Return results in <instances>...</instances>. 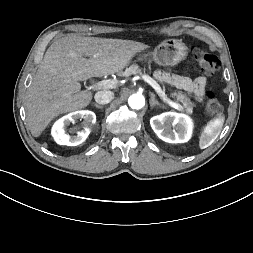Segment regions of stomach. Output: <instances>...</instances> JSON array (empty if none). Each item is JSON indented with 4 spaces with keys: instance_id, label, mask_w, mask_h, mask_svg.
Wrapping results in <instances>:
<instances>
[{
    "instance_id": "1",
    "label": "stomach",
    "mask_w": 253,
    "mask_h": 253,
    "mask_svg": "<svg viewBox=\"0 0 253 253\" xmlns=\"http://www.w3.org/2000/svg\"><path fill=\"white\" fill-rule=\"evenodd\" d=\"M188 56V48L177 39H168L161 42L153 51V60L162 66H175ZM142 57H145L144 55Z\"/></svg>"
}]
</instances>
